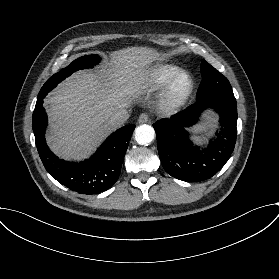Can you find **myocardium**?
<instances>
[{"mask_svg": "<svg viewBox=\"0 0 279 279\" xmlns=\"http://www.w3.org/2000/svg\"><path fill=\"white\" fill-rule=\"evenodd\" d=\"M183 77L186 79L187 84L183 90L179 91L177 85ZM193 90L194 80L191 75L186 72L177 74L163 89L160 100L161 110L169 114L177 112L185 105Z\"/></svg>", "mask_w": 279, "mask_h": 279, "instance_id": "obj_1", "label": "myocardium"}]
</instances>
